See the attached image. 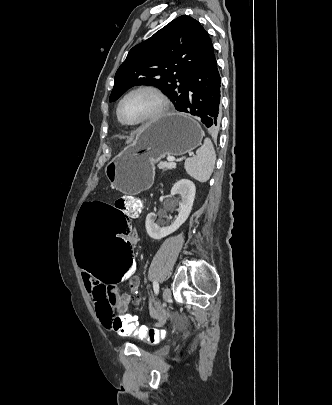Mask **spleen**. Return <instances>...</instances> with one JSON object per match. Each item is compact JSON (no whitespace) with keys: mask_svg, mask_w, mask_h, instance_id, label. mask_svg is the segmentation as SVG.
<instances>
[{"mask_svg":"<svg viewBox=\"0 0 332 405\" xmlns=\"http://www.w3.org/2000/svg\"><path fill=\"white\" fill-rule=\"evenodd\" d=\"M216 154L209 138L196 151V156L187 158L184 163L187 174L199 182H207L213 172Z\"/></svg>","mask_w":332,"mask_h":405,"instance_id":"obj_1","label":"spleen"}]
</instances>
